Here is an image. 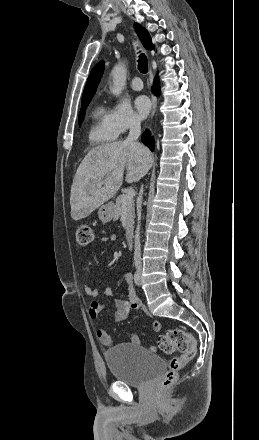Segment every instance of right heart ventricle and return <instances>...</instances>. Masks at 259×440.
Masks as SVG:
<instances>
[{
	"label": "right heart ventricle",
	"mask_w": 259,
	"mask_h": 440,
	"mask_svg": "<svg viewBox=\"0 0 259 440\" xmlns=\"http://www.w3.org/2000/svg\"><path fill=\"white\" fill-rule=\"evenodd\" d=\"M88 138L92 144H104L116 138L109 123V112L103 106H97L91 114Z\"/></svg>",
	"instance_id": "1"
}]
</instances>
